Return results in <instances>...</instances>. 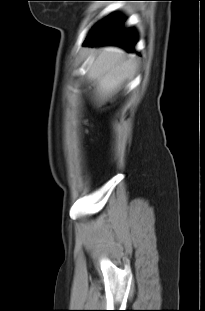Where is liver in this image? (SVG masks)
I'll use <instances>...</instances> for the list:
<instances>
[{
    "mask_svg": "<svg viewBox=\"0 0 205 311\" xmlns=\"http://www.w3.org/2000/svg\"><path fill=\"white\" fill-rule=\"evenodd\" d=\"M134 70V61L126 58L122 50L105 47L95 53L87 78L96 81V93L103 101L117 93L124 82L133 76Z\"/></svg>",
    "mask_w": 205,
    "mask_h": 311,
    "instance_id": "obj_1",
    "label": "liver"
}]
</instances>
